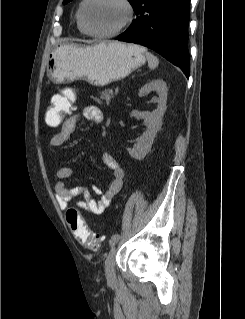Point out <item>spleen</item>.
<instances>
[{
    "mask_svg": "<svg viewBox=\"0 0 245 319\" xmlns=\"http://www.w3.org/2000/svg\"><path fill=\"white\" fill-rule=\"evenodd\" d=\"M146 57L148 60V67L150 69H155L159 64L158 58L149 52H146Z\"/></svg>",
    "mask_w": 245,
    "mask_h": 319,
    "instance_id": "1",
    "label": "spleen"
}]
</instances>
